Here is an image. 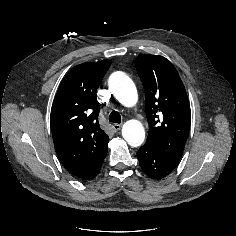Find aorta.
Here are the masks:
<instances>
[{
	"label": "aorta",
	"instance_id": "762f6f07",
	"mask_svg": "<svg viewBox=\"0 0 236 236\" xmlns=\"http://www.w3.org/2000/svg\"><path fill=\"white\" fill-rule=\"evenodd\" d=\"M109 87L122 105L132 107L137 103L136 86L125 73L114 72L109 78ZM122 136L130 146H141L145 139V130L142 123L137 120L127 121L122 128Z\"/></svg>",
	"mask_w": 236,
	"mask_h": 236
}]
</instances>
